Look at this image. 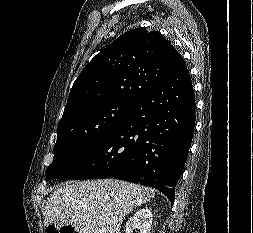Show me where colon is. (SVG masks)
Here are the masks:
<instances>
[{
  "mask_svg": "<svg viewBox=\"0 0 253 233\" xmlns=\"http://www.w3.org/2000/svg\"><path fill=\"white\" fill-rule=\"evenodd\" d=\"M48 233H76L71 226L62 225L59 227L50 226L48 228Z\"/></svg>",
  "mask_w": 253,
  "mask_h": 233,
  "instance_id": "colon-1",
  "label": "colon"
}]
</instances>
